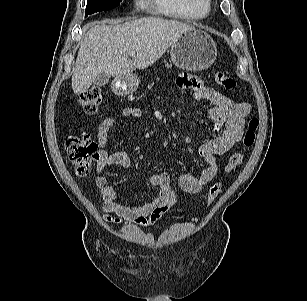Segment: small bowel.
<instances>
[{
    "mask_svg": "<svg viewBox=\"0 0 307 301\" xmlns=\"http://www.w3.org/2000/svg\"><path fill=\"white\" fill-rule=\"evenodd\" d=\"M178 86L189 89L194 100H206L211 103L208 115L214 122L212 138L199 148V154L206 166L199 177L185 173L180 177V189L185 193H198L204 185L214 179L218 171L217 158L236 143L243 135L244 120L250 112V105L244 102H234L226 95L201 83L195 77L182 75L177 80ZM142 111L137 107H126L121 111L123 118H140ZM116 119H103L97 131V140L101 150L98 153L96 166L97 176L95 184L102 196L103 219L108 223H120L126 220L134 225L148 228L154 226L161 217L179 200V192L171 185L170 176L165 173H156L151 176L150 184L159 190L158 196L143 205L122 203L118 200L115 189L108 184L103 174L108 166H130V159L125 151L109 153L104 148L109 132L115 127Z\"/></svg>",
    "mask_w": 307,
    "mask_h": 301,
    "instance_id": "small-bowel-1",
    "label": "small bowel"
}]
</instances>
